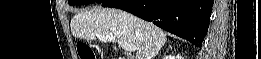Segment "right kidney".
<instances>
[{"instance_id": "right-kidney-1", "label": "right kidney", "mask_w": 261, "mask_h": 59, "mask_svg": "<svg viewBox=\"0 0 261 59\" xmlns=\"http://www.w3.org/2000/svg\"><path fill=\"white\" fill-rule=\"evenodd\" d=\"M165 59H183V57L181 55H176V56H168V57H165Z\"/></svg>"}]
</instances>
